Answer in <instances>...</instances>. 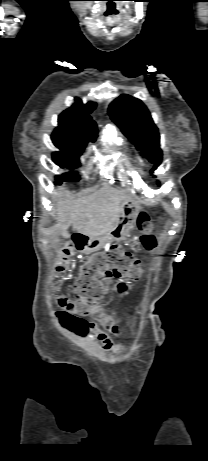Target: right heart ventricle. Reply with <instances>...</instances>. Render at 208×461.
Listing matches in <instances>:
<instances>
[{"instance_id":"e07e8e85","label":"right heart ventricle","mask_w":208,"mask_h":461,"mask_svg":"<svg viewBox=\"0 0 208 461\" xmlns=\"http://www.w3.org/2000/svg\"><path fill=\"white\" fill-rule=\"evenodd\" d=\"M101 145L105 152L112 154H116L127 149L125 141L111 127L104 131Z\"/></svg>"}]
</instances>
